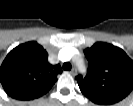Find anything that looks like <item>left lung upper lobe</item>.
<instances>
[{
	"label": "left lung upper lobe",
	"mask_w": 133,
	"mask_h": 106,
	"mask_svg": "<svg viewBox=\"0 0 133 106\" xmlns=\"http://www.w3.org/2000/svg\"><path fill=\"white\" fill-rule=\"evenodd\" d=\"M87 75L76 77L81 92L96 104H114L133 89V61L120 48L98 42L84 50Z\"/></svg>",
	"instance_id": "5c2ea615"
}]
</instances>
